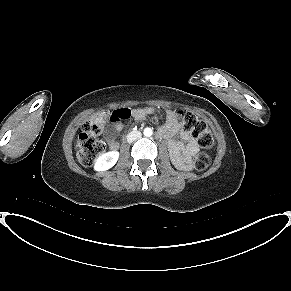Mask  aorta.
I'll list each match as a JSON object with an SVG mask.
<instances>
[{
    "label": "aorta",
    "mask_w": 291,
    "mask_h": 291,
    "mask_svg": "<svg viewBox=\"0 0 291 291\" xmlns=\"http://www.w3.org/2000/svg\"><path fill=\"white\" fill-rule=\"evenodd\" d=\"M143 134H144V136H146V137H150V136H152L153 131H152L151 128H148V127H147V128L144 129Z\"/></svg>",
    "instance_id": "aorta-1"
}]
</instances>
